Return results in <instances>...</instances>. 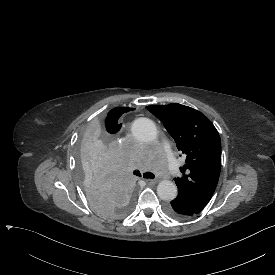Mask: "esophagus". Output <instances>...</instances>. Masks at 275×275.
<instances>
[{"mask_svg":"<svg viewBox=\"0 0 275 275\" xmlns=\"http://www.w3.org/2000/svg\"><path fill=\"white\" fill-rule=\"evenodd\" d=\"M145 181H146V183L149 184V185H153V184L157 183V180H156V179H146Z\"/></svg>","mask_w":275,"mask_h":275,"instance_id":"1","label":"esophagus"}]
</instances>
